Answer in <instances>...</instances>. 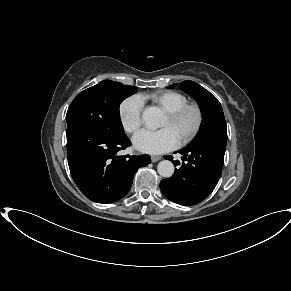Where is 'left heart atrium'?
Here are the masks:
<instances>
[{
    "instance_id": "left-heart-atrium-1",
    "label": "left heart atrium",
    "mask_w": 291,
    "mask_h": 291,
    "mask_svg": "<svg viewBox=\"0 0 291 291\" xmlns=\"http://www.w3.org/2000/svg\"><path fill=\"white\" fill-rule=\"evenodd\" d=\"M179 140L168 127L156 131L142 130L133 138L134 147L143 153L161 154L176 148Z\"/></svg>"
}]
</instances>
